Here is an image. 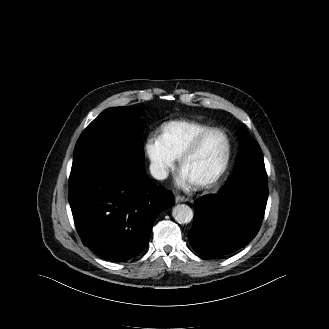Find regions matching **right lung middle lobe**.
I'll use <instances>...</instances> for the list:
<instances>
[{"label":"right lung middle lobe","instance_id":"obj_1","mask_svg":"<svg viewBox=\"0 0 329 329\" xmlns=\"http://www.w3.org/2000/svg\"><path fill=\"white\" fill-rule=\"evenodd\" d=\"M141 111L129 107L104 110L80 135L71 174L93 165L108 164L128 172L144 170Z\"/></svg>","mask_w":329,"mask_h":329}]
</instances>
